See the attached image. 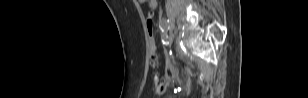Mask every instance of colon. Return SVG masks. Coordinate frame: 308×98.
I'll return each instance as SVG.
<instances>
[{
	"instance_id": "colon-1",
	"label": "colon",
	"mask_w": 308,
	"mask_h": 98,
	"mask_svg": "<svg viewBox=\"0 0 308 98\" xmlns=\"http://www.w3.org/2000/svg\"><path fill=\"white\" fill-rule=\"evenodd\" d=\"M146 27H147V31H148V34H149L151 47H152L151 48V65L153 67H155L158 64V56H157L156 51H155L154 23H153L151 16H148V18H147Z\"/></svg>"
}]
</instances>
